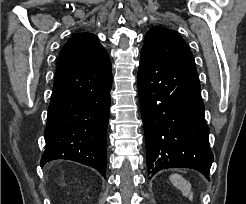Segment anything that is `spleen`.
I'll return each instance as SVG.
<instances>
[{
  "label": "spleen",
  "mask_w": 246,
  "mask_h": 204,
  "mask_svg": "<svg viewBox=\"0 0 246 204\" xmlns=\"http://www.w3.org/2000/svg\"><path fill=\"white\" fill-rule=\"evenodd\" d=\"M171 183L177 187L185 197L190 201L193 200L192 185L180 174H172L169 177Z\"/></svg>",
  "instance_id": "1"
}]
</instances>
